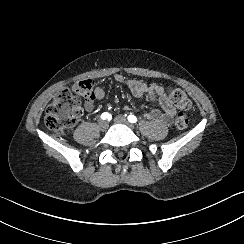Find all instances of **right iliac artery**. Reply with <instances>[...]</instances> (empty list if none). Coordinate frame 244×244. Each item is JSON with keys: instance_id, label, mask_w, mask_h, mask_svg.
Wrapping results in <instances>:
<instances>
[{"instance_id": "right-iliac-artery-1", "label": "right iliac artery", "mask_w": 244, "mask_h": 244, "mask_svg": "<svg viewBox=\"0 0 244 244\" xmlns=\"http://www.w3.org/2000/svg\"><path fill=\"white\" fill-rule=\"evenodd\" d=\"M111 118H112L111 114H109L107 112H104L101 115V119H103V120H106V119L111 120Z\"/></svg>"}]
</instances>
